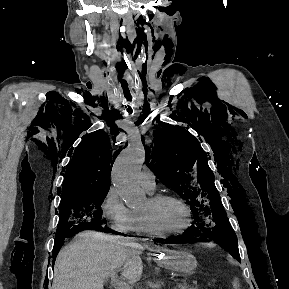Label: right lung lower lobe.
<instances>
[{
  "instance_id": "obj_1",
  "label": "right lung lower lobe",
  "mask_w": 289,
  "mask_h": 289,
  "mask_svg": "<svg viewBox=\"0 0 289 289\" xmlns=\"http://www.w3.org/2000/svg\"><path fill=\"white\" fill-rule=\"evenodd\" d=\"M96 230H100L102 232H106V233H115V234H118V232H115L109 228H104L102 227L101 229H96ZM79 232V231H78ZM78 232H72L66 236H59V237H55V243H54V249H53V262L55 261L56 259V255L58 254L62 244H63V241L66 237H70V236H73L75 235L76 233Z\"/></svg>"
}]
</instances>
